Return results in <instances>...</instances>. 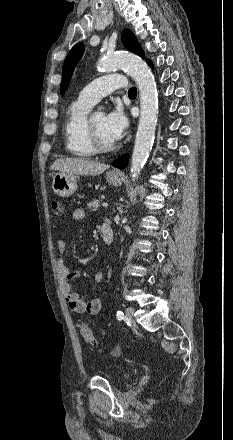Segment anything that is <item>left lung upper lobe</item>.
Segmentation results:
<instances>
[{
    "mask_svg": "<svg viewBox=\"0 0 233 440\" xmlns=\"http://www.w3.org/2000/svg\"><path fill=\"white\" fill-rule=\"evenodd\" d=\"M122 42L129 51L141 57H144L143 50L138 40L130 30L123 31ZM83 52H84L83 43H78L70 50L68 56L66 57L62 69V83L60 87L61 96L64 95L68 83L71 79L74 67L81 59Z\"/></svg>",
    "mask_w": 233,
    "mask_h": 440,
    "instance_id": "1",
    "label": "left lung upper lobe"
}]
</instances>
